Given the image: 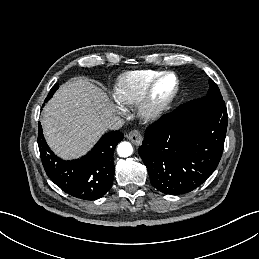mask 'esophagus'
Listing matches in <instances>:
<instances>
[{
    "mask_svg": "<svg viewBox=\"0 0 259 259\" xmlns=\"http://www.w3.org/2000/svg\"><path fill=\"white\" fill-rule=\"evenodd\" d=\"M126 136L135 145H140L143 141V136L138 130H132Z\"/></svg>",
    "mask_w": 259,
    "mask_h": 259,
    "instance_id": "34e87169",
    "label": "esophagus"
}]
</instances>
